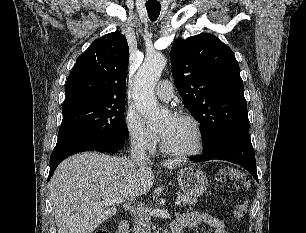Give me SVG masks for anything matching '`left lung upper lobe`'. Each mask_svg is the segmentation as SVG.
<instances>
[{"mask_svg": "<svg viewBox=\"0 0 306 233\" xmlns=\"http://www.w3.org/2000/svg\"><path fill=\"white\" fill-rule=\"evenodd\" d=\"M170 57L178 92L201 124L203 147L225 135L249 133L240 69L228 46L201 33L175 40Z\"/></svg>", "mask_w": 306, "mask_h": 233, "instance_id": "obj_1", "label": "left lung upper lobe"}]
</instances>
